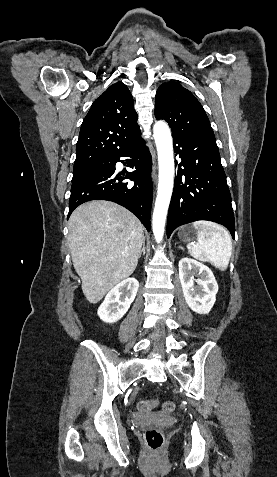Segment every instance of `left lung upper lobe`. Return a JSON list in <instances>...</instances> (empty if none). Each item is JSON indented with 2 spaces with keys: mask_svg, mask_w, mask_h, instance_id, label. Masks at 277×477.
I'll return each mask as SVG.
<instances>
[{
  "mask_svg": "<svg viewBox=\"0 0 277 477\" xmlns=\"http://www.w3.org/2000/svg\"><path fill=\"white\" fill-rule=\"evenodd\" d=\"M155 117L168 122L172 134L214 136L200 102L175 81L164 83L158 88Z\"/></svg>",
  "mask_w": 277,
  "mask_h": 477,
  "instance_id": "1",
  "label": "left lung upper lobe"
}]
</instances>
